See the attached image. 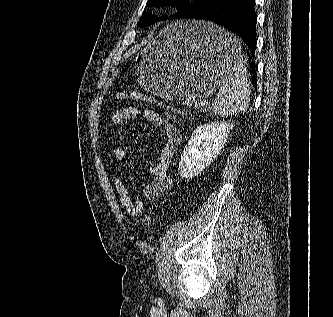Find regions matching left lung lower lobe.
<instances>
[{
    "label": "left lung lower lobe",
    "mask_w": 333,
    "mask_h": 317,
    "mask_svg": "<svg viewBox=\"0 0 333 317\" xmlns=\"http://www.w3.org/2000/svg\"><path fill=\"white\" fill-rule=\"evenodd\" d=\"M187 19L209 21L237 34L254 56L257 41L255 0H213L207 6L192 12ZM249 65L248 70L252 75L251 82L256 88V65L254 63H249Z\"/></svg>",
    "instance_id": "0a47b994"
}]
</instances>
